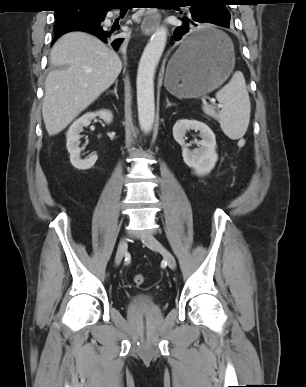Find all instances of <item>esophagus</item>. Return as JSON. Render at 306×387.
<instances>
[{
	"mask_svg": "<svg viewBox=\"0 0 306 387\" xmlns=\"http://www.w3.org/2000/svg\"><path fill=\"white\" fill-rule=\"evenodd\" d=\"M161 20V13L156 8L147 9L145 11L142 23L141 30L144 34L149 35L154 32L159 26Z\"/></svg>",
	"mask_w": 306,
	"mask_h": 387,
	"instance_id": "34e87169",
	"label": "esophagus"
}]
</instances>
